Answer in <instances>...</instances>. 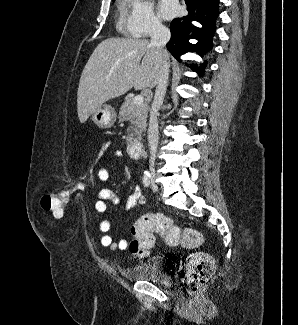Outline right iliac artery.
<instances>
[{"instance_id":"82829eb1","label":"right iliac artery","mask_w":298,"mask_h":325,"mask_svg":"<svg viewBox=\"0 0 298 325\" xmlns=\"http://www.w3.org/2000/svg\"><path fill=\"white\" fill-rule=\"evenodd\" d=\"M143 184L145 187H149L151 184V175L148 172H145L143 175Z\"/></svg>"}]
</instances>
